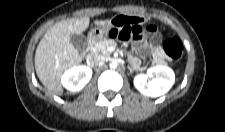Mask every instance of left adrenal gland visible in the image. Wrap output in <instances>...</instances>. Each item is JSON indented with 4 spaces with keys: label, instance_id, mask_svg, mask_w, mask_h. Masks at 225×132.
I'll use <instances>...</instances> for the list:
<instances>
[{
    "label": "left adrenal gland",
    "instance_id": "obj_1",
    "mask_svg": "<svg viewBox=\"0 0 225 132\" xmlns=\"http://www.w3.org/2000/svg\"><path fill=\"white\" fill-rule=\"evenodd\" d=\"M129 70H130V72H132V69L131 68H129Z\"/></svg>",
    "mask_w": 225,
    "mask_h": 132
}]
</instances>
